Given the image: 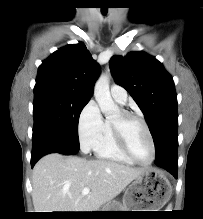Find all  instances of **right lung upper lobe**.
I'll return each instance as SVG.
<instances>
[{"instance_id":"cb5924a9","label":"right lung upper lobe","mask_w":203,"mask_h":219,"mask_svg":"<svg viewBox=\"0 0 203 219\" xmlns=\"http://www.w3.org/2000/svg\"><path fill=\"white\" fill-rule=\"evenodd\" d=\"M99 65L83 43L55 51L38 68L35 88L50 87L90 99Z\"/></svg>"}]
</instances>
